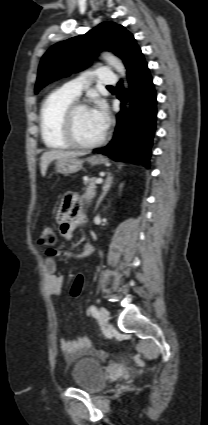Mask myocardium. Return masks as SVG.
Wrapping results in <instances>:
<instances>
[{"label": "myocardium", "instance_id": "obj_1", "mask_svg": "<svg viewBox=\"0 0 208 425\" xmlns=\"http://www.w3.org/2000/svg\"><path fill=\"white\" fill-rule=\"evenodd\" d=\"M81 109H89V107L81 102H74L71 104L65 111L63 115V135L64 138L68 141V143L77 149H93L100 145H102L106 140V133L104 132L101 138L94 142L84 143L81 142L75 135L74 131V119L77 111Z\"/></svg>", "mask_w": 208, "mask_h": 425}]
</instances>
